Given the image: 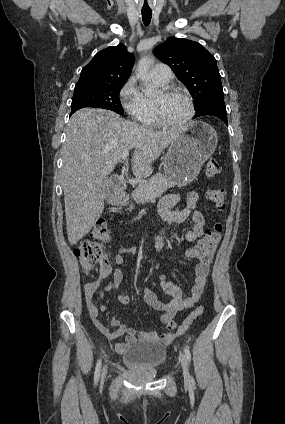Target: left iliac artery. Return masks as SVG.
<instances>
[{
  "mask_svg": "<svg viewBox=\"0 0 285 424\" xmlns=\"http://www.w3.org/2000/svg\"><path fill=\"white\" fill-rule=\"evenodd\" d=\"M184 352H185L186 358H187V359H188V361L190 362V361H191V353H190V350H189V348H188L187 346H185V348H184ZM193 382H194V380H193V378L191 377V383L193 384Z\"/></svg>",
  "mask_w": 285,
  "mask_h": 424,
  "instance_id": "obj_1",
  "label": "left iliac artery"
}]
</instances>
